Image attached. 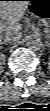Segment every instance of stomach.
<instances>
[{
    "label": "stomach",
    "mask_w": 50,
    "mask_h": 111,
    "mask_svg": "<svg viewBox=\"0 0 50 111\" xmlns=\"http://www.w3.org/2000/svg\"><path fill=\"white\" fill-rule=\"evenodd\" d=\"M29 13L40 22L50 21V0H29Z\"/></svg>",
    "instance_id": "stomach-1"
}]
</instances>
